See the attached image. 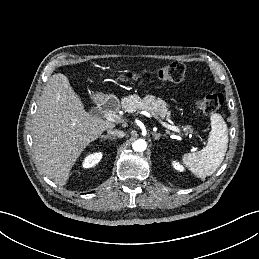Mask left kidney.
<instances>
[{"mask_svg": "<svg viewBox=\"0 0 259 259\" xmlns=\"http://www.w3.org/2000/svg\"><path fill=\"white\" fill-rule=\"evenodd\" d=\"M172 165H173V167H174L176 170H178V171H183V170H184L183 166L180 165L179 162H177V161H173V162H172Z\"/></svg>", "mask_w": 259, "mask_h": 259, "instance_id": "1", "label": "left kidney"}]
</instances>
